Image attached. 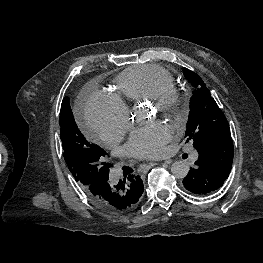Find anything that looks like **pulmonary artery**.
Returning <instances> with one entry per match:
<instances>
[{"label":"pulmonary artery","mask_w":263,"mask_h":263,"mask_svg":"<svg viewBox=\"0 0 263 263\" xmlns=\"http://www.w3.org/2000/svg\"><path fill=\"white\" fill-rule=\"evenodd\" d=\"M198 158V153L196 151H193L191 154V160L195 161Z\"/></svg>","instance_id":"obj_1"}]
</instances>
